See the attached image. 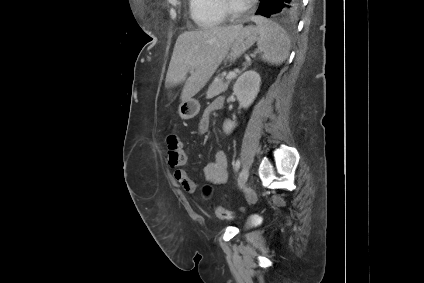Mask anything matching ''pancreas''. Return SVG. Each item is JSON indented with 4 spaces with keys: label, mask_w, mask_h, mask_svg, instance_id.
Returning a JSON list of instances; mask_svg holds the SVG:
<instances>
[{
    "label": "pancreas",
    "mask_w": 424,
    "mask_h": 283,
    "mask_svg": "<svg viewBox=\"0 0 424 283\" xmlns=\"http://www.w3.org/2000/svg\"><path fill=\"white\" fill-rule=\"evenodd\" d=\"M228 85H229V81L223 82L221 78L216 77L208 88V91L206 93V98L211 99L215 96H218L222 92H225L228 88Z\"/></svg>",
    "instance_id": "pancreas-1"
}]
</instances>
